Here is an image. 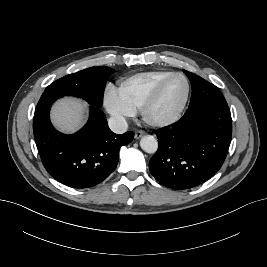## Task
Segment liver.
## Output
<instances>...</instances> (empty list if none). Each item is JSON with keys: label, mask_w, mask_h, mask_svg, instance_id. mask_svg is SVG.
<instances>
[{"label": "liver", "mask_w": 267, "mask_h": 267, "mask_svg": "<svg viewBox=\"0 0 267 267\" xmlns=\"http://www.w3.org/2000/svg\"><path fill=\"white\" fill-rule=\"evenodd\" d=\"M86 109L82 101L64 98L57 101L51 110L54 126L62 132L73 133L85 122Z\"/></svg>", "instance_id": "6515ba94"}]
</instances>
